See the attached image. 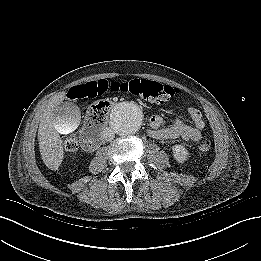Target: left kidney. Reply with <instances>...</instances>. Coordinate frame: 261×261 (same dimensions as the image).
Here are the masks:
<instances>
[{
  "mask_svg": "<svg viewBox=\"0 0 261 261\" xmlns=\"http://www.w3.org/2000/svg\"><path fill=\"white\" fill-rule=\"evenodd\" d=\"M172 149L173 157L178 163H184L188 159L189 152L183 145H174Z\"/></svg>",
  "mask_w": 261,
  "mask_h": 261,
  "instance_id": "left-kidney-1",
  "label": "left kidney"
}]
</instances>
